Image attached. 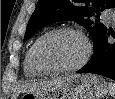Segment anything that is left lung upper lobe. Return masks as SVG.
<instances>
[{"label": "left lung upper lobe", "instance_id": "obj_1", "mask_svg": "<svg viewBox=\"0 0 115 99\" xmlns=\"http://www.w3.org/2000/svg\"><path fill=\"white\" fill-rule=\"evenodd\" d=\"M110 8H115V0H38L28 22L24 41L44 26L58 21L72 20L89 31L95 48L107 28L102 23L94 24L90 17Z\"/></svg>", "mask_w": 115, "mask_h": 99}]
</instances>
